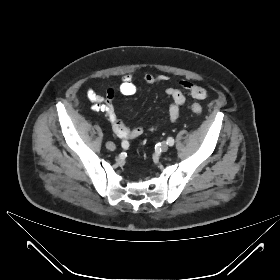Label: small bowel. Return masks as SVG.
<instances>
[{
    "mask_svg": "<svg viewBox=\"0 0 280 280\" xmlns=\"http://www.w3.org/2000/svg\"><path fill=\"white\" fill-rule=\"evenodd\" d=\"M167 80L165 75L146 74L144 81L147 84H162ZM183 91L187 92L192 98L196 100L205 99L207 91L200 85H197L188 80H181L178 82V88L167 87L165 93L171 98V103L168 107V116L171 121H176L179 117L180 108L186 106V97ZM119 92L123 95L129 96L136 92V85L133 82L131 75H125L119 85ZM116 95V90L112 87L108 88L105 96H101L93 89L86 91V96L89 101L93 103L94 110L101 111L109 120L114 133L121 139H134L140 136L144 129L141 126L128 127L116 114L113 106V100ZM155 128L150 127L153 131Z\"/></svg>",
    "mask_w": 280,
    "mask_h": 280,
    "instance_id": "obj_1",
    "label": "small bowel"
}]
</instances>
